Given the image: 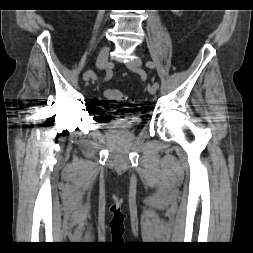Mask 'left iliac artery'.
<instances>
[{
  "instance_id": "obj_1",
  "label": "left iliac artery",
  "mask_w": 253,
  "mask_h": 253,
  "mask_svg": "<svg viewBox=\"0 0 253 253\" xmlns=\"http://www.w3.org/2000/svg\"><path fill=\"white\" fill-rule=\"evenodd\" d=\"M146 66L148 68H151V69L155 68V65H154V63L152 61H147L146 62ZM153 85L158 89V87H159V83L158 82H155Z\"/></svg>"
}]
</instances>
